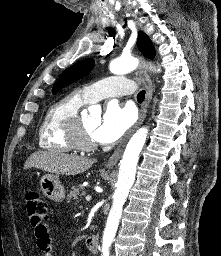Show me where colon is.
I'll return each instance as SVG.
<instances>
[{
  "instance_id": "5ec220e1",
  "label": "colon",
  "mask_w": 221,
  "mask_h": 256,
  "mask_svg": "<svg viewBox=\"0 0 221 256\" xmlns=\"http://www.w3.org/2000/svg\"><path fill=\"white\" fill-rule=\"evenodd\" d=\"M27 216L35 230H42L46 227L48 206L41 195L30 189L25 195Z\"/></svg>"
}]
</instances>
